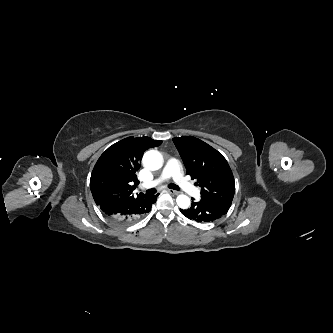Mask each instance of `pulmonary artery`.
<instances>
[{
    "label": "pulmonary artery",
    "instance_id": "obj_1",
    "mask_svg": "<svg viewBox=\"0 0 333 333\" xmlns=\"http://www.w3.org/2000/svg\"><path fill=\"white\" fill-rule=\"evenodd\" d=\"M169 178H172L179 187L192 196H199L200 190L196 186H194L191 182H189L185 177L183 176L180 162L175 159H169L163 168L160 176L156 178L155 180L151 181L149 184L145 185V187H153L156 186Z\"/></svg>",
    "mask_w": 333,
    "mask_h": 333
}]
</instances>
